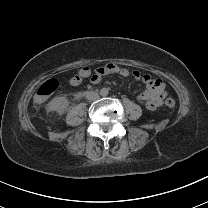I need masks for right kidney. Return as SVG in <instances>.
I'll use <instances>...</instances> for the list:
<instances>
[{"label": "right kidney", "mask_w": 208, "mask_h": 208, "mask_svg": "<svg viewBox=\"0 0 208 208\" xmlns=\"http://www.w3.org/2000/svg\"><path fill=\"white\" fill-rule=\"evenodd\" d=\"M49 106L52 110L64 111L68 106V101L65 97H55L50 101Z\"/></svg>", "instance_id": "right-kidney-1"}]
</instances>
